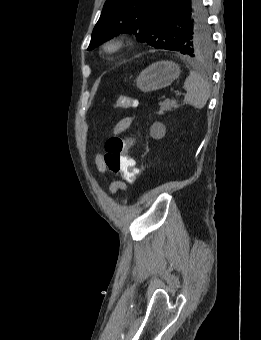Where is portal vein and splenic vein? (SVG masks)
<instances>
[{
  "instance_id": "portal-vein-and-splenic-vein-1",
  "label": "portal vein and splenic vein",
  "mask_w": 261,
  "mask_h": 340,
  "mask_svg": "<svg viewBox=\"0 0 261 340\" xmlns=\"http://www.w3.org/2000/svg\"><path fill=\"white\" fill-rule=\"evenodd\" d=\"M175 95L179 97V96H181V95H184V93L178 92V93H176Z\"/></svg>"
}]
</instances>
